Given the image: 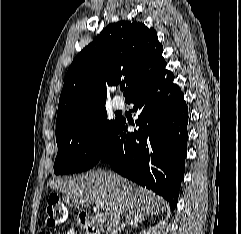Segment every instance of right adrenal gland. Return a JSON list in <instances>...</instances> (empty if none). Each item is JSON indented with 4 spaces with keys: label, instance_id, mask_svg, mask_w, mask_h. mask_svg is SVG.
I'll list each match as a JSON object with an SVG mask.
<instances>
[{
    "label": "right adrenal gland",
    "instance_id": "obj_1",
    "mask_svg": "<svg viewBox=\"0 0 241 234\" xmlns=\"http://www.w3.org/2000/svg\"><path fill=\"white\" fill-rule=\"evenodd\" d=\"M144 220H145L144 217H140V216L128 217L125 223H122V225L119 227V232L124 231L126 226L136 228Z\"/></svg>",
    "mask_w": 241,
    "mask_h": 234
}]
</instances>
